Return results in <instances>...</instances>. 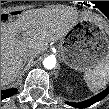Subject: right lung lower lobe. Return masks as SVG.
<instances>
[{
    "label": "right lung lower lobe",
    "instance_id": "1",
    "mask_svg": "<svg viewBox=\"0 0 109 109\" xmlns=\"http://www.w3.org/2000/svg\"><path fill=\"white\" fill-rule=\"evenodd\" d=\"M17 91V89H8V90H3L2 91V99L7 98L11 95H13L15 92Z\"/></svg>",
    "mask_w": 109,
    "mask_h": 109
}]
</instances>
